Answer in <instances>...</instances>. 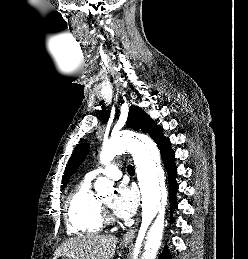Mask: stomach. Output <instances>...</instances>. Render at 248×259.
I'll use <instances>...</instances> for the list:
<instances>
[{
  "mask_svg": "<svg viewBox=\"0 0 248 259\" xmlns=\"http://www.w3.org/2000/svg\"><path fill=\"white\" fill-rule=\"evenodd\" d=\"M56 259H76V258L71 257V256L60 255Z\"/></svg>",
  "mask_w": 248,
  "mask_h": 259,
  "instance_id": "0dacf381",
  "label": "stomach"
}]
</instances>
